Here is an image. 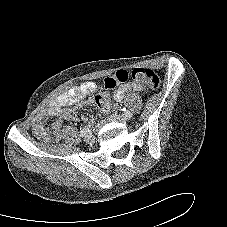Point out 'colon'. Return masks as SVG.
Returning <instances> with one entry per match:
<instances>
[{
	"instance_id": "1",
	"label": "colon",
	"mask_w": 227,
	"mask_h": 227,
	"mask_svg": "<svg viewBox=\"0 0 227 227\" xmlns=\"http://www.w3.org/2000/svg\"><path fill=\"white\" fill-rule=\"evenodd\" d=\"M129 76L140 83L142 86L155 90L160 85L158 74L149 68L137 67L130 72L126 70H118L112 76L107 77L104 81V89L96 96V104L102 110H107L110 102L109 90L126 82Z\"/></svg>"
}]
</instances>
